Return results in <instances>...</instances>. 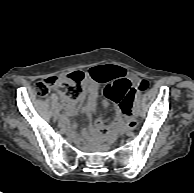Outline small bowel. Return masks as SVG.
Listing matches in <instances>:
<instances>
[{"mask_svg":"<svg viewBox=\"0 0 194 193\" xmlns=\"http://www.w3.org/2000/svg\"><path fill=\"white\" fill-rule=\"evenodd\" d=\"M123 72L117 67L110 66H99L92 68L88 71L87 76L84 80V95L83 98H86L81 109L83 113L91 117L96 114L97 109V91L100 84H110L112 81L117 79ZM139 82V80H136ZM60 87L58 86V90ZM62 95V94H61ZM63 97V95H62ZM82 98V99H83ZM82 99L78 101H67L63 97V105L67 112V115L73 116L79 110ZM104 107L108 106V102L103 103ZM62 124L65 129L68 131H73L75 129L74 122L68 121L66 118L62 119ZM123 125V120L121 117V110L117 111V116L114 125H106L101 117L96 116L94 121L91 123L90 129L93 132L99 133V139L101 144L109 143L113 138L115 131ZM77 139L81 137L76 135Z\"/></svg>","mask_w":194,"mask_h":193,"instance_id":"small-bowel-1","label":"small bowel"}]
</instances>
